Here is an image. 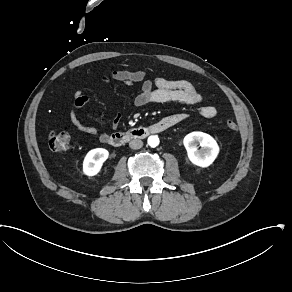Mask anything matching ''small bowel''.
Returning <instances> with one entry per match:
<instances>
[{"instance_id":"obj_1","label":"small bowel","mask_w":292,"mask_h":292,"mask_svg":"<svg viewBox=\"0 0 292 292\" xmlns=\"http://www.w3.org/2000/svg\"><path fill=\"white\" fill-rule=\"evenodd\" d=\"M110 79L122 82L128 86L141 83V91L134 99L135 107H143L147 105L160 104L165 102H180L189 105L200 106L203 103V96L192 83L186 80H168L163 77H156L153 81L147 78L142 70L130 71L117 69L111 72L110 77L100 75L98 80L100 83L108 84ZM90 96L80 90H77L73 96V104L69 112L70 122L73 127L85 134L97 135L99 131L96 127L86 125L79 117V111L90 101ZM200 116L206 119L214 118L217 115V109L211 105H202L198 109ZM189 118L186 112L175 113L161 119V131L170 129L181 124ZM120 116L113 120V126L119 124ZM110 135L106 132L99 134V140L102 143L108 142Z\"/></svg>"}]
</instances>
